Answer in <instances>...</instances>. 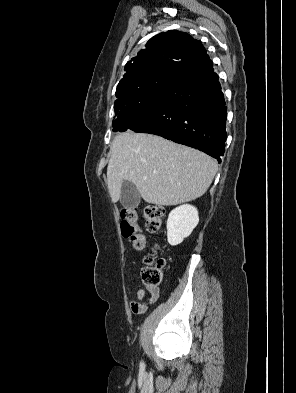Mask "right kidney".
I'll list each match as a JSON object with an SVG mask.
<instances>
[{
    "label": "right kidney",
    "mask_w": 296,
    "mask_h": 393,
    "mask_svg": "<svg viewBox=\"0 0 296 393\" xmlns=\"http://www.w3.org/2000/svg\"><path fill=\"white\" fill-rule=\"evenodd\" d=\"M199 222L198 210L192 205L185 204L173 209L167 220V239L171 246L183 242Z\"/></svg>",
    "instance_id": "right-kidney-1"
}]
</instances>
